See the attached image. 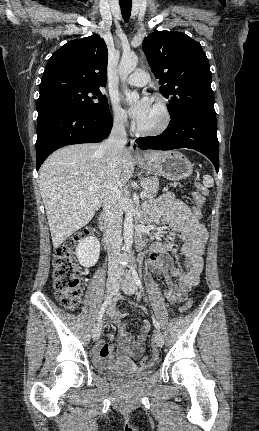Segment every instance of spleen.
I'll use <instances>...</instances> for the list:
<instances>
[{
  "mask_svg": "<svg viewBox=\"0 0 259 431\" xmlns=\"http://www.w3.org/2000/svg\"><path fill=\"white\" fill-rule=\"evenodd\" d=\"M203 184L205 187H212L214 185V180L210 175H204Z\"/></svg>",
  "mask_w": 259,
  "mask_h": 431,
  "instance_id": "spleen-1",
  "label": "spleen"
}]
</instances>
